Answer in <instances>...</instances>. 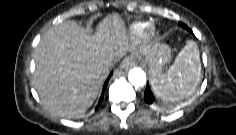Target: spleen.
Returning a JSON list of instances; mask_svg holds the SVG:
<instances>
[{"mask_svg": "<svg viewBox=\"0 0 236 135\" xmlns=\"http://www.w3.org/2000/svg\"><path fill=\"white\" fill-rule=\"evenodd\" d=\"M200 53L194 41H187L174 63L165 72L154 71L151 85L155 93L167 101L183 100L196 90L200 82Z\"/></svg>", "mask_w": 236, "mask_h": 135, "instance_id": "1", "label": "spleen"}]
</instances>
